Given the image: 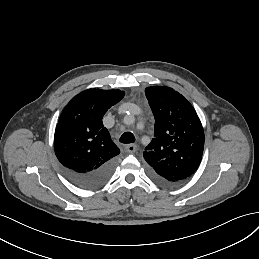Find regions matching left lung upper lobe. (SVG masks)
<instances>
[{
    "instance_id": "5c2ea615",
    "label": "left lung upper lobe",
    "mask_w": 259,
    "mask_h": 259,
    "mask_svg": "<svg viewBox=\"0 0 259 259\" xmlns=\"http://www.w3.org/2000/svg\"><path fill=\"white\" fill-rule=\"evenodd\" d=\"M145 94L155 118L154 138L143 153L149 171L165 182H183L202 160V124L190 102L174 89L148 87Z\"/></svg>"
}]
</instances>
